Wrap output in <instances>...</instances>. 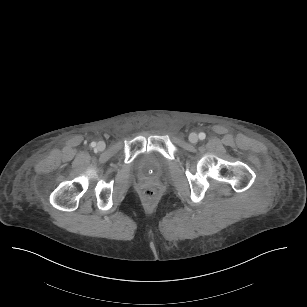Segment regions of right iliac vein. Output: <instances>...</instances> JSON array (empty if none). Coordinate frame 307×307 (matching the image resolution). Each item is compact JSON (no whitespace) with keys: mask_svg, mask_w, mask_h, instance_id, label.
<instances>
[{"mask_svg":"<svg viewBox=\"0 0 307 307\" xmlns=\"http://www.w3.org/2000/svg\"><path fill=\"white\" fill-rule=\"evenodd\" d=\"M97 148L98 150H104L105 149V143L100 141L98 144H97Z\"/></svg>","mask_w":307,"mask_h":307,"instance_id":"1","label":"right iliac vein"}]
</instances>
